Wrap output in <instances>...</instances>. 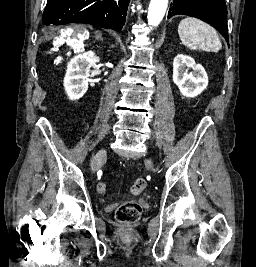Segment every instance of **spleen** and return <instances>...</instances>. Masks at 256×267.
I'll list each match as a JSON object with an SVG mask.
<instances>
[{
  "instance_id": "obj_1",
  "label": "spleen",
  "mask_w": 256,
  "mask_h": 267,
  "mask_svg": "<svg viewBox=\"0 0 256 267\" xmlns=\"http://www.w3.org/2000/svg\"><path fill=\"white\" fill-rule=\"evenodd\" d=\"M179 38L189 50H202V52H219L222 44L219 36L209 24L197 18H184L178 26Z\"/></svg>"
}]
</instances>
